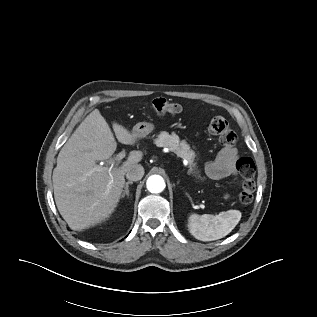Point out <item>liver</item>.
<instances>
[{
	"mask_svg": "<svg viewBox=\"0 0 317 317\" xmlns=\"http://www.w3.org/2000/svg\"><path fill=\"white\" fill-rule=\"evenodd\" d=\"M113 129L120 143L136 144V133L116 122ZM116 148L115 137L98 109L84 119L61 148L52 176L54 199L72 230L82 231L110 217L119 203L127 169L143 158L141 151H131L119 168L98 171L101 167L96 161L112 163Z\"/></svg>",
	"mask_w": 317,
	"mask_h": 317,
	"instance_id": "liver-1",
	"label": "liver"
}]
</instances>
